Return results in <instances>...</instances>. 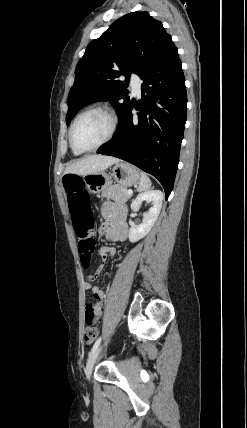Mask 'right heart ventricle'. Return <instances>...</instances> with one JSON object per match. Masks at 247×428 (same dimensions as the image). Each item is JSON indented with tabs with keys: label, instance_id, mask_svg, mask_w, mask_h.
Wrapping results in <instances>:
<instances>
[{
	"label": "right heart ventricle",
	"instance_id": "e07e8e85",
	"mask_svg": "<svg viewBox=\"0 0 247 428\" xmlns=\"http://www.w3.org/2000/svg\"><path fill=\"white\" fill-rule=\"evenodd\" d=\"M72 151H73V153H74V154H76V155H79V154H81V153H82V152H79V151H77V150H75V149H73V148H72Z\"/></svg>",
	"mask_w": 247,
	"mask_h": 428
}]
</instances>
